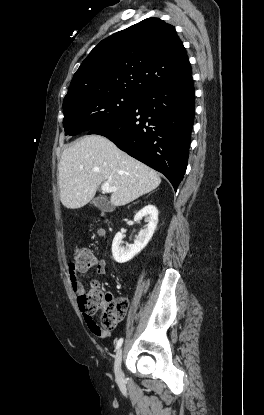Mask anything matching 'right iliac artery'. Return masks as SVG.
Masks as SVG:
<instances>
[{
	"instance_id": "1",
	"label": "right iliac artery",
	"mask_w": 264,
	"mask_h": 415,
	"mask_svg": "<svg viewBox=\"0 0 264 415\" xmlns=\"http://www.w3.org/2000/svg\"><path fill=\"white\" fill-rule=\"evenodd\" d=\"M122 343H123V338H120V339L117 341V344H116V350H118V349L121 347Z\"/></svg>"
}]
</instances>
